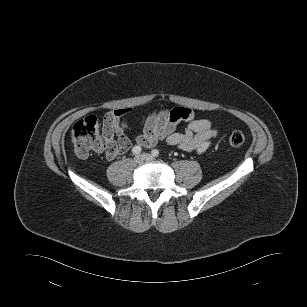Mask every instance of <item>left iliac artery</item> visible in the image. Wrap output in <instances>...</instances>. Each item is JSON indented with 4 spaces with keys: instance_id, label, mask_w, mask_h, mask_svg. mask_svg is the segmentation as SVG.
Instances as JSON below:
<instances>
[{
    "instance_id": "left-iliac-artery-1",
    "label": "left iliac artery",
    "mask_w": 307,
    "mask_h": 307,
    "mask_svg": "<svg viewBox=\"0 0 307 307\" xmlns=\"http://www.w3.org/2000/svg\"><path fill=\"white\" fill-rule=\"evenodd\" d=\"M152 155L155 156V157H158L159 156V151L157 149H154L152 150Z\"/></svg>"
}]
</instances>
